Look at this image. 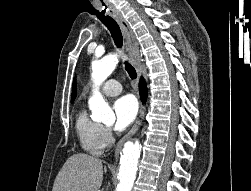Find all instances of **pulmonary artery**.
<instances>
[{"instance_id": "e3ab8cb5", "label": "pulmonary artery", "mask_w": 251, "mask_h": 191, "mask_svg": "<svg viewBox=\"0 0 251 191\" xmlns=\"http://www.w3.org/2000/svg\"><path fill=\"white\" fill-rule=\"evenodd\" d=\"M101 91L110 96L118 95L122 92V85L115 79H108L101 84Z\"/></svg>"}]
</instances>
